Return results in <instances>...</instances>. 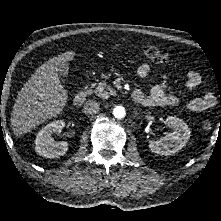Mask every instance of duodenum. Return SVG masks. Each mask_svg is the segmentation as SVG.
<instances>
[{"instance_id":"410a0bca","label":"duodenum","mask_w":221,"mask_h":221,"mask_svg":"<svg viewBox=\"0 0 221 221\" xmlns=\"http://www.w3.org/2000/svg\"><path fill=\"white\" fill-rule=\"evenodd\" d=\"M86 97H87L86 91L84 90L79 91L74 97V100H73L74 105L81 106L84 103ZM139 97H140V93L137 90L131 92V98L133 101L136 102V100H138Z\"/></svg>"}]
</instances>
